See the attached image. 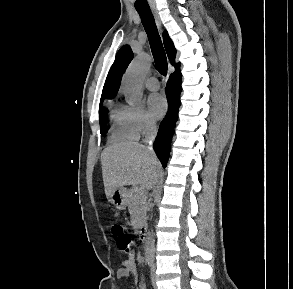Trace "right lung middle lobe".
I'll use <instances>...</instances> for the list:
<instances>
[{"label": "right lung middle lobe", "instance_id": "right-lung-middle-lobe-1", "mask_svg": "<svg viewBox=\"0 0 293 289\" xmlns=\"http://www.w3.org/2000/svg\"><path fill=\"white\" fill-rule=\"evenodd\" d=\"M102 102H100V110H99V120H100V129H101V134L105 133V123L107 121V115H108V110H103L101 111V106H102Z\"/></svg>", "mask_w": 293, "mask_h": 289}]
</instances>
